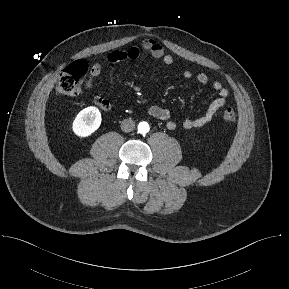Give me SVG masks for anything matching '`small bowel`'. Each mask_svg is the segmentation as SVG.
<instances>
[{
	"mask_svg": "<svg viewBox=\"0 0 289 289\" xmlns=\"http://www.w3.org/2000/svg\"><path fill=\"white\" fill-rule=\"evenodd\" d=\"M141 51L149 53L156 59H160L166 65H170L174 61L173 57L165 52L163 46L152 39L145 40L142 43L141 48L133 46L126 50H114L108 54L107 61L109 63H119L127 60H135L140 56ZM101 71V64L95 63L92 65L87 77L86 86L88 88L93 86L95 78L100 75ZM183 76L189 79L192 77V72L190 70H185ZM197 81L202 86L209 84V78L205 73L198 74ZM211 86L217 93L218 97L209 104L203 115L197 118L184 120L182 125L185 129L199 128L208 124L214 118L216 113L225 105L229 94L228 90L219 81L212 82ZM94 103L105 111H112V104L104 97L98 95L95 96ZM147 113L153 118L165 121L169 130H174L177 127V123L171 118V113L166 108L152 105L148 107Z\"/></svg>",
	"mask_w": 289,
	"mask_h": 289,
	"instance_id": "obj_1",
	"label": "small bowel"
}]
</instances>
